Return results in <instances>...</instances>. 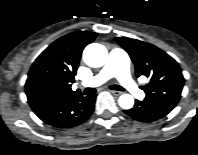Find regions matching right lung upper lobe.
<instances>
[{"label":"right lung upper lobe","instance_id":"1","mask_svg":"<svg viewBox=\"0 0 198 155\" xmlns=\"http://www.w3.org/2000/svg\"><path fill=\"white\" fill-rule=\"evenodd\" d=\"M97 33L77 31L67 34L47 47L33 63L25 84L31 108L72 97L71 83L77 74L84 47Z\"/></svg>","mask_w":198,"mask_h":155}]
</instances>
